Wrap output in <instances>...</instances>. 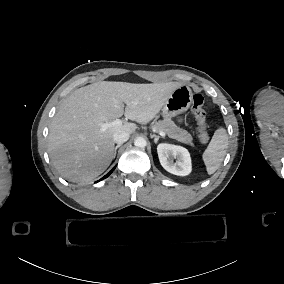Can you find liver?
<instances>
[{
	"label": "liver",
	"mask_w": 284,
	"mask_h": 284,
	"mask_svg": "<svg viewBox=\"0 0 284 284\" xmlns=\"http://www.w3.org/2000/svg\"><path fill=\"white\" fill-rule=\"evenodd\" d=\"M181 85L101 81L75 90L62 101L50 125L48 152L55 169L73 182L96 178L113 159L114 133L137 129L135 123L125 122L101 133L99 124L122 115L146 124Z\"/></svg>",
	"instance_id": "1"
}]
</instances>
